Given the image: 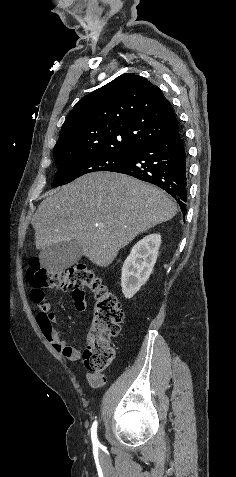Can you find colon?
Instances as JSON below:
<instances>
[{
  "label": "colon",
  "mask_w": 236,
  "mask_h": 477,
  "mask_svg": "<svg viewBox=\"0 0 236 477\" xmlns=\"http://www.w3.org/2000/svg\"><path fill=\"white\" fill-rule=\"evenodd\" d=\"M26 280L34 302L43 298L46 289H74L77 294L85 291L93 294L94 311L86 336L84 361L90 371L105 370L115 357L112 340L119 334L124 312L115 294L95 270L80 263L65 271L51 272L35 258L27 269Z\"/></svg>",
  "instance_id": "5ec220e1"
}]
</instances>
